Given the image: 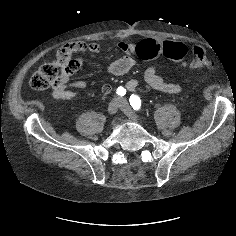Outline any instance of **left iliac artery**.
<instances>
[{"label": "left iliac artery", "instance_id": "1", "mask_svg": "<svg viewBox=\"0 0 236 236\" xmlns=\"http://www.w3.org/2000/svg\"><path fill=\"white\" fill-rule=\"evenodd\" d=\"M129 101L134 110H139L141 108V99L139 96L132 94Z\"/></svg>", "mask_w": 236, "mask_h": 236}]
</instances>
